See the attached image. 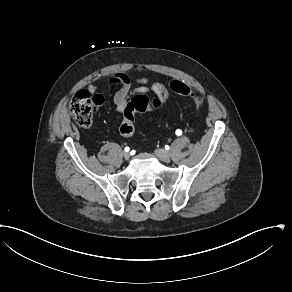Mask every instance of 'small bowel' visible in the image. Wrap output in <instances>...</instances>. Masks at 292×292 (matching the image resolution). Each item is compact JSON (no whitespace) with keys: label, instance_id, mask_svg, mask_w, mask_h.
<instances>
[{"label":"small bowel","instance_id":"c3829d8e","mask_svg":"<svg viewBox=\"0 0 292 292\" xmlns=\"http://www.w3.org/2000/svg\"><path fill=\"white\" fill-rule=\"evenodd\" d=\"M106 82L119 86L118 91L114 95L115 109L118 113L124 110L130 97L135 94H146L151 91L156 95V98L161 101L162 105H165L169 100L167 88L161 83H153L151 86H148L149 79L146 77H136L131 81L124 73H113L107 76ZM131 82L137 84L138 87L132 90ZM88 88L93 92L97 90L98 85L96 83H91Z\"/></svg>","mask_w":292,"mask_h":292}]
</instances>
